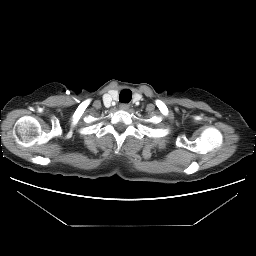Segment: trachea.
Segmentation results:
<instances>
[{"mask_svg": "<svg viewBox=\"0 0 256 256\" xmlns=\"http://www.w3.org/2000/svg\"><path fill=\"white\" fill-rule=\"evenodd\" d=\"M132 98V92L129 89H124L119 95V101L123 103H129Z\"/></svg>", "mask_w": 256, "mask_h": 256, "instance_id": "obj_1", "label": "trachea"}]
</instances>
